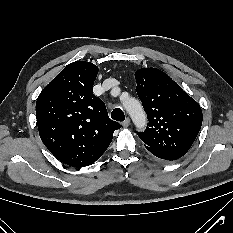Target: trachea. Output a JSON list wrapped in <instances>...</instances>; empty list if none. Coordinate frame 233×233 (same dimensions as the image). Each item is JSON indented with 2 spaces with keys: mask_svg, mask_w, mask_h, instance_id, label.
Returning <instances> with one entry per match:
<instances>
[{
  "mask_svg": "<svg viewBox=\"0 0 233 233\" xmlns=\"http://www.w3.org/2000/svg\"><path fill=\"white\" fill-rule=\"evenodd\" d=\"M111 118L116 121H123L125 119V115L120 108H115L111 113Z\"/></svg>",
  "mask_w": 233,
  "mask_h": 233,
  "instance_id": "obj_1",
  "label": "trachea"
}]
</instances>
